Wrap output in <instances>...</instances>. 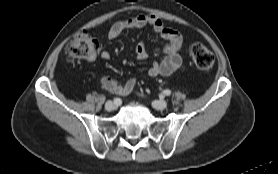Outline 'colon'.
<instances>
[{
	"label": "colon",
	"mask_w": 278,
	"mask_h": 174,
	"mask_svg": "<svg viewBox=\"0 0 278 174\" xmlns=\"http://www.w3.org/2000/svg\"><path fill=\"white\" fill-rule=\"evenodd\" d=\"M98 50L97 40L88 32L83 31L76 34L66 46L64 55L69 61L87 59L96 54ZM190 54L195 66L207 71L214 64L213 53L203 44L195 43L190 48Z\"/></svg>",
	"instance_id": "obj_1"
}]
</instances>
